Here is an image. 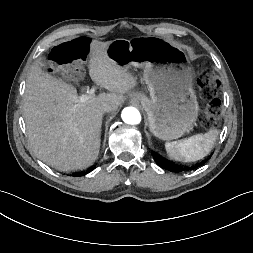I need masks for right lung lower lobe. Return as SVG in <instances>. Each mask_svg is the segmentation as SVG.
I'll return each instance as SVG.
<instances>
[{"label": "right lung lower lobe", "instance_id": "1", "mask_svg": "<svg viewBox=\"0 0 253 253\" xmlns=\"http://www.w3.org/2000/svg\"><path fill=\"white\" fill-rule=\"evenodd\" d=\"M93 169H94V167H93V168H91V169H89L87 172H84V173H79V174H74V176H83V175H85V174L89 173L90 171H92Z\"/></svg>", "mask_w": 253, "mask_h": 253}]
</instances>
